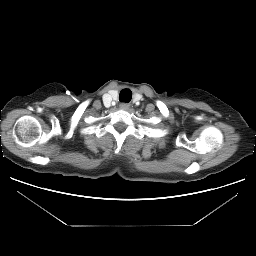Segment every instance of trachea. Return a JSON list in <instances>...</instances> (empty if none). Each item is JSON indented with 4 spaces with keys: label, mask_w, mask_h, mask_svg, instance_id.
I'll return each mask as SVG.
<instances>
[{
    "label": "trachea",
    "mask_w": 256,
    "mask_h": 256,
    "mask_svg": "<svg viewBox=\"0 0 256 256\" xmlns=\"http://www.w3.org/2000/svg\"><path fill=\"white\" fill-rule=\"evenodd\" d=\"M132 92L130 89H123L120 92L119 98L121 102H129L131 100Z\"/></svg>",
    "instance_id": "obj_1"
}]
</instances>
